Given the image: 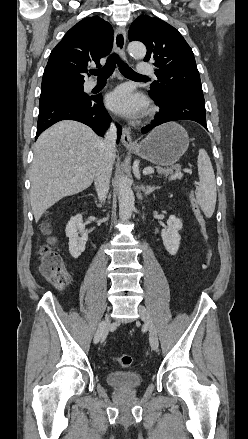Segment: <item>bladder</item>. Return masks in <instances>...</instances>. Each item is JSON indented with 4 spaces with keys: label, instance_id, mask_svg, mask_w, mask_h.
Listing matches in <instances>:
<instances>
[{
    "label": "bladder",
    "instance_id": "31cf9c89",
    "mask_svg": "<svg viewBox=\"0 0 248 439\" xmlns=\"http://www.w3.org/2000/svg\"><path fill=\"white\" fill-rule=\"evenodd\" d=\"M107 384L111 387L131 390L139 388L143 383V376L132 371H117L106 374Z\"/></svg>",
    "mask_w": 248,
    "mask_h": 439
}]
</instances>
